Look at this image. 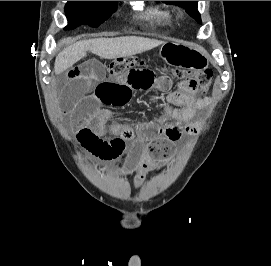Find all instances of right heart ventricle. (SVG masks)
I'll return each instance as SVG.
<instances>
[{"label": "right heart ventricle", "instance_id": "e07e8e85", "mask_svg": "<svg viewBox=\"0 0 271 266\" xmlns=\"http://www.w3.org/2000/svg\"><path fill=\"white\" fill-rule=\"evenodd\" d=\"M143 17L148 20L168 22L172 17V12L170 8L166 6H153L144 12Z\"/></svg>", "mask_w": 271, "mask_h": 266}]
</instances>
